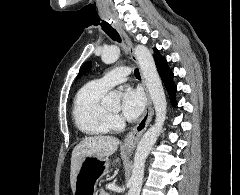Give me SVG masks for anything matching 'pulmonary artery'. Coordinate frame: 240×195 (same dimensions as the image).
<instances>
[{"label": "pulmonary artery", "instance_id": "e3ab8cb5", "mask_svg": "<svg viewBox=\"0 0 240 195\" xmlns=\"http://www.w3.org/2000/svg\"><path fill=\"white\" fill-rule=\"evenodd\" d=\"M118 71H109V74L103 75L102 78H97V83H103L106 88L110 89L114 85L123 82L127 74H131L132 70L128 65L118 66Z\"/></svg>", "mask_w": 240, "mask_h": 195}]
</instances>
